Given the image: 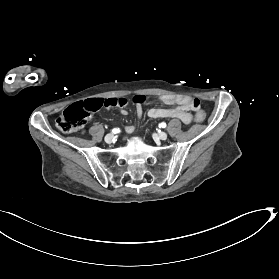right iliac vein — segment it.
I'll list each match as a JSON object with an SVG mask.
<instances>
[{
    "mask_svg": "<svg viewBox=\"0 0 279 279\" xmlns=\"http://www.w3.org/2000/svg\"><path fill=\"white\" fill-rule=\"evenodd\" d=\"M113 139H114L113 134H107L104 138L106 143H111L113 141Z\"/></svg>",
    "mask_w": 279,
    "mask_h": 279,
    "instance_id": "obj_1",
    "label": "right iliac vein"
}]
</instances>
